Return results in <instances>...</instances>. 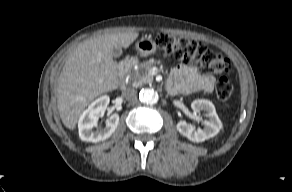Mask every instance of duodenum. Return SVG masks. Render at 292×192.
I'll return each instance as SVG.
<instances>
[{
	"label": "duodenum",
	"instance_id": "duodenum-1",
	"mask_svg": "<svg viewBox=\"0 0 292 192\" xmlns=\"http://www.w3.org/2000/svg\"><path fill=\"white\" fill-rule=\"evenodd\" d=\"M135 63V61L132 58H127L125 60H123L120 64H119V68H118V74L121 78H123L127 72L129 71V69L132 67V65Z\"/></svg>",
	"mask_w": 292,
	"mask_h": 192
}]
</instances>
